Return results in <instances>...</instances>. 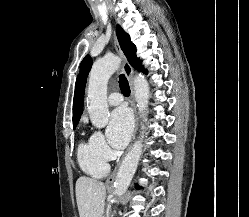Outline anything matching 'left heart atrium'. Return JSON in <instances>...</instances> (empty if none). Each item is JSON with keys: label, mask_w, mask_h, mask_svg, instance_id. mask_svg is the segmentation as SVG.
I'll list each match as a JSON object with an SVG mask.
<instances>
[{"label": "left heart atrium", "mask_w": 249, "mask_h": 217, "mask_svg": "<svg viewBox=\"0 0 249 217\" xmlns=\"http://www.w3.org/2000/svg\"><path fill=\"white\" fill-rule=\"evenodd\" d=\"M133 129V118L130 111L122 106L115 109L108 126V139L110 144L117 148H123L131 136Z\"/></svg>", "instance_id": "39dd6f15"}]
</instances>
